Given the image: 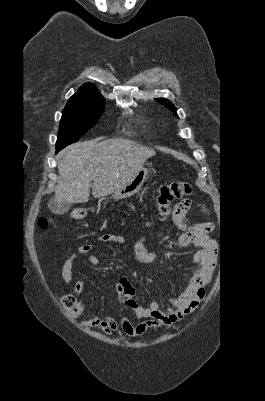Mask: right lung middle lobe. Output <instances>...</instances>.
I'll use <instances>...</instances> for the list:
<instances>
[{"mask_svg": "<svg viewBox=\"0 0 265 401\" xmlns=\"http://www.w3.org/2000/svg\"><path fill=\"white\" fill-rule=\"evenodd\" d=\"M105 101L66 106L62 111L56 152L74 143L92 128L104 112Z\"/></svg>", "mask_w": 265, "mask_h": 401, "instance_id": "right-lung-middle-lobe-1", "label": "right lung middle lobe"}]
</instances>
